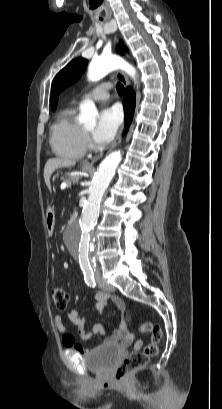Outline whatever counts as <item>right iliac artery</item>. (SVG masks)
<instances>
[{"mask_svg":"<svg viewBox=\"0 0 222 409\" xmlns=\"http://www.w3.org/2000/svg\"><path fill=\"white\" fill-rule=\"evenodd\" d=\"M84 279L88 286L93 287V288L96 286L93 272L84 273Z\"/></svg>","mask_w":222,"mask_h":409,"instance_id":"82829eb1","label":"right iliac artery"}]
</instances>
